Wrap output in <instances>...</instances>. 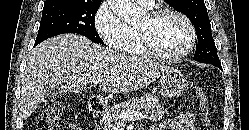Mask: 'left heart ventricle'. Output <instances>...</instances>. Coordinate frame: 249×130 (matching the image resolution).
I'll return each instance as SVG.
<instances>
[{
	"instance_id": "left-heart-ventricle-1",
	"label": "left heart ventricle",
	"mask_w": 249,
	"mask_h": 130,
	"mask_svg": "<svg viewBox=\"0 0 249 130\" xmlns=\"http://www.w3.org/2000/svg\"><path fill=\"white\" fill-rule=\"evenodd\" d=\"M139 27L148 28L154 48L166 55L179 53L189 40L188 28L175 16H165L153 23L146 16Z\"/></svg>"
}]
</instances>
